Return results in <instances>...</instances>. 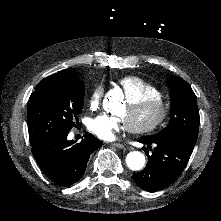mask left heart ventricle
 Masks as SVG:
<instances>
[{
  "instance_id": "obj_1",
  "label": "left heart ventricle",
  "mask_w": 221,
  "mask_h": 221,
  "mask_svg": "<svg viewBox=\"0 0 221 221\" xmlns=\"http://www.w3.org/2000/svg\"><path fill=\"white\" fill-rule=\"evenodd\" d=\"M161 116V106L156 100H151L145 107L142 117L136 122L139 129L149 128L154 125Z\"/></svg>"
}]
</instances>
